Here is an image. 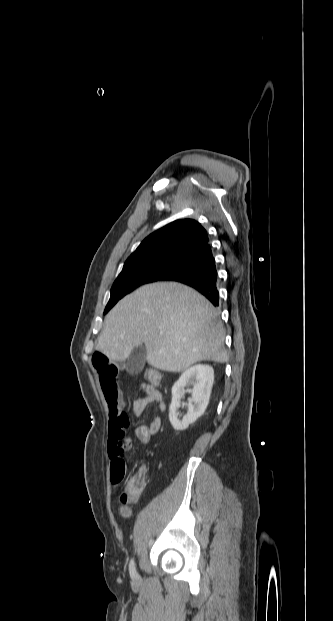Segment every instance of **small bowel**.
<instances>
[{
    "label": "small bowel",
    "mask_w": 333,
    "mask_h": 621,
    "mask_svg": "<svg viewBox=\"0 0 333 621\" xmlns=\"http://www.w3.org/2000/svg\"><path fill=\"white\" fill-rule=\"evenodd\" d=\"M92 364L98 374L100 387L109 410L108 455L112 467L118 462L125 463V453L131 445V440L126 437L129 420L124 411V401L117 381L120 363L111 360L100 351H95L92 356ZM141 389L145 396L133 402V413L136 416L142 415L146 407L153 402L158 404L160 411L165 410L163 396L155 386L145 382L142 383ZM161 425V418L156 417L148 426L136 427L135 437L141 443L146 444L153 435L159 432Z\"/></svg>",
    "instance_id": "1"
}]
</instances>
